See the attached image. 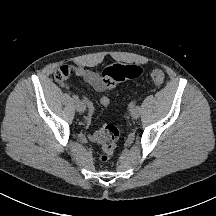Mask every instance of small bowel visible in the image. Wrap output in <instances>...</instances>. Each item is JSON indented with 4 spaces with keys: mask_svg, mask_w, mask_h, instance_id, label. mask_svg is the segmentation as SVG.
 Returning a JSON list of instances; mask_svg holds the SVG:
<instances>
[{
    "mask_svg": "<svg viewBox=\"0 0 216 216\" xmlns=\"http://www.w3.org/2000/svg\"><path fill=\"white\" fill-rule=\"evenodd\" d=\"M74 73L76 76L80 77L82 80H84L86 83H88L90 86H92L96 91L105 93L107 92V88L103 83L102 77L99 72L85 68V67H73ZM84 103L88 107V115L86 117V124L87 126H91L92 123V117L94 113V105L93 103L86 97L83 98ZM99 102L102 106H108L110 104V98L103 94L99 98ZM96 132H92L90 134L91 140H95Z\"/></svg>",
    "mask_w": 216,
    "mask_h": 216,
    "instance_id": "1",
    "label": "small bowel"
}]
</instances>
